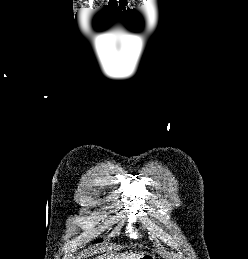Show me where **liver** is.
Wrapping results in <instances>:
<instances>
[{"label":"liver","instance_id":"liver-1","mask_svg":"<svg viewBox=\"0 0 248 259\" xmlns=\"http://www.w3.org/2000/svg\"><path fill=\"white\" fill-rule=\"evenodd\" d=\"M143 253H133V252H126L122 254H110V255H101L97 256L94 259H140Z\"/></svg>","mask_w":248,"mask_h":259}]
</instances>
